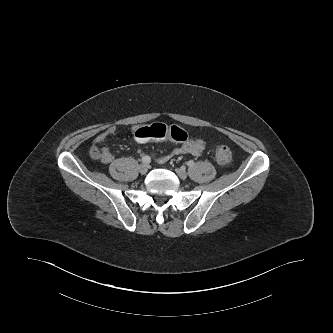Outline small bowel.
<instances>
[{
    "mask_svg": "<svg viewBox=\"0 0 333 333\" xmlns=\"http://www.w3.org/2000/svg\"><path fill=\"white\" fill-rule=\"evenodd\" d=\"M136 127L132 128L135 133ZM116 129L114 127L108 128L99 133L94 139L90 147V156L102 163L109 164L114 160V155L108 147H103L102 144L110 137L115 135ZM206 142L201 138H187L181 142L180 146L172 149L168 154L158 157L160 162H166L173 156L192 155L199 156L205 149Z\"/></svg>",
    "mask_w": 333,
    "mask_h": 333,
    "instance_id": "small-bowel-1",
    "label": "small bowel"
}]
</instances>
